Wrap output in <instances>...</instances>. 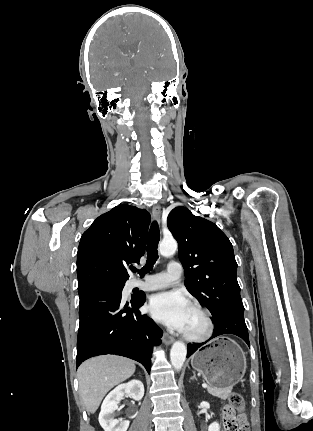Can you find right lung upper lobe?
<instances>
[{"mask_svg":"<svg viewBox=\"0 0 313 431\" xmlns=\"http://www.w3.org/2000/svg\"><path fill=\"white\" fill-rule=\"evenodd\" d=\"M150 214L119 205L99 216L83 233L77 253L78 292L97 286L123 285L126 267L145 253Z\"/></svg>","mask_w":313,"mask_h":431,"instance_id":"cb5924a9","label":"right lung upper lobe"}]
</instances>
